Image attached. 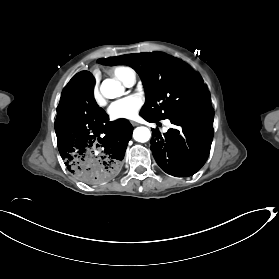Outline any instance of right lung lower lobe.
Returning <instances> with one entry per match:
<instances>
[{"instance_id": "1", "label": "right lung lower lobe", "mask_w": 279, "mask_h": 279, "mask_svg": "<svg viewBox=\"0 0 279 279\" xmlns=\"http://www.w3.org/2000/svg\"><path fill=\"white\" fill-rule=\"evenodd\" d=\"M92 85L89 71L70 80L61 94L55 132L67 169L80 181L97 185L119 175L133 127L126 119L109 121L94 100Z\"/></svg>"}]
</instances>
